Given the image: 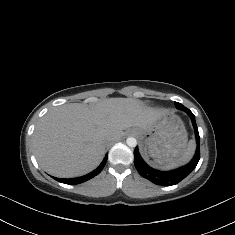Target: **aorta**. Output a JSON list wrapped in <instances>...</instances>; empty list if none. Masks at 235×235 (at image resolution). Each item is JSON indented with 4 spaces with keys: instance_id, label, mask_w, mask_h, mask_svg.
<instances>
[{
    "instance_id": "1",
    "label": "aorta",
    "mask_w": 235,
    "mask_h": 235,
    "mask_svg": "<svg viewBox=\"0 0 235 235\" xmlns=\"http://www.w3.org/2000/svg\"><path fill=\"white\" fill-rule=\"evenodd\" d=\"M126 143L129 147H136L137 140L133 137H130V138L127 139Z\"/></svg>"
}]
</instances>
